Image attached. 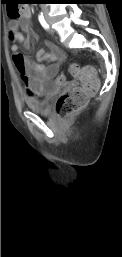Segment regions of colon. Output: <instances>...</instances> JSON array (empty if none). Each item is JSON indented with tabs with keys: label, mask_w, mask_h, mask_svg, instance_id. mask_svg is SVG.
<instances>
[{
	"label": "colon",
	"mask_w": 122,
	"mask_h": 257,
	"mask_svg": "<svg viewBox=\"0 0 122 257\" xmlns=\"http://www.w3.org/2000/svg\"><path fill=\"white\" fill-rule=\"evenodd\" d=\"M6 10H9V17L12 19L20 16V5H6ZM69 71L80 82V86L66 91L57 99L56 113L63 119H68L80 112L86 106L89 97L99 87L96 72L92 67L81 68L77 64H72ZM53 78L55 90H66V87L70 86L69 82H65L68 79L66 74H54Z\"/></svg>",
	"instance_id": "obj_1"
}]
</instances>
